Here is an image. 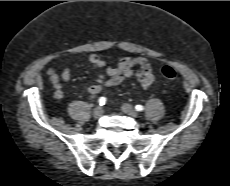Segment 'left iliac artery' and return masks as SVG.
Listing matches in <instances>:
<instances>
[{
    "instance_id": "obj_1",
    "label": "left iliac artery",
    "mask_w": 230,
    "mask_h": 186,
    "mask_svg": "<svg viewBox=\"0 0 230 186\" xmlns=\"http://www.w3.org/2000/svg\"><path fill=\"white\" fill-rule=\"evenodd\" d=\"M135 108L137 111H143L144 110V107L142 105H136Z\"/></svg>"
}]
</instances>
